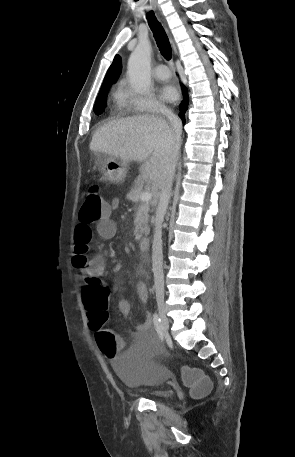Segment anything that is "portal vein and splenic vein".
Here are the masks:
<instances>
[{
	"instance_id": "1",
	"label": "portal vein and splenic vein",
	"mask_w": 295,
	"mask_h": 457,
	"mask_svg": "<svg viewBox=\"0 0 295 457\" xmlns=\"http://www.w3.org/2000/svg\"><path fill=\"white\" fill-rule=\"evenodd\" d=\"M151 198H152V193L149 191H144L140 196L141 201H149V200H151Z\"/></svg>"
}]
</instances>
